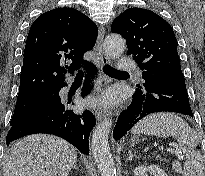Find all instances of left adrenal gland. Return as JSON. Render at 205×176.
<instances>
[{
  "label": "left adrenal gland",
  "mask_w": 205,
  "mask_h": 176,
  "mask_svg": "<svg viewBox=\"0 0 205 176\" xmlns=\"http://www.w3.org/2000/svg\"><path fill=\"white\" fill-rule=\"evenodd\" d=\"M133 157H136V154H135V153L133 154V153H132V150H129V151H128L127 162H128V161H131Z\"/></svg>",
  "instance_id": "left-adrenal-gland-1"
}]
</instances>
